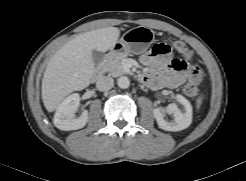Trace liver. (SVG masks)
Instances as JSON below:
<instances>
[{"instance_id":"6515ba94","label":"liver","mask_w":246,"mask_h":181,"mask_svg":"<svg viewBox=\"0 0 246 181\" xmlns=\"http://www.w3.org/2000/svg\"><path fill=\"white\" fill-rule=\"evenodd\" d=\"M120 30L106 27L76 36L50 59L42 79V100L54 111L70 93L88 87L95 70L92 51L106 52L118 41Z\"/></svg>"}]
</instances>
